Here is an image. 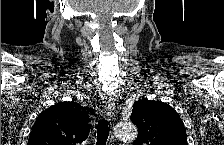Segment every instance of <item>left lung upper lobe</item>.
<instances>
[{"label": "left lung upper lobe", "mask_w": 224, "mask_h": 145, "mask_svg": "<svg viewBox=\"0 0 224 145\" xmlns=\"http://www.w3.org/2000/svg\"><path fill=\"white\" fill-rule=\"evenodd\" d=\"M130 118L138 128L135 145H188L181 118L166 103L143 98L134 103Z\"/></svg>", "instance_id": "1"}]
</instances>
